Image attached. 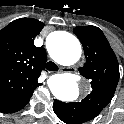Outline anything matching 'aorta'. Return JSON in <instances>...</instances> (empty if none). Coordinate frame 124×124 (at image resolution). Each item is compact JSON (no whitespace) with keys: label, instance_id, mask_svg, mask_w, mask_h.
I'll list each match as a JSON object with an SVG mask.
<instances>
[{"label":"aorta","instance_id":"1","mask_svg":"<svg viewBox=\"0 0 124 124\" xmlns=\"http://www.w3.org/2000/svg\"><path fill=\"white\" fill-rule=\"evenodd\" d=\"M51 57L62 65H72L81 57L79 40L68 32H59L49 47ZM77 76L70 73L55 74L48 80L52 94L61 101H74L79 96Z\"/></svg>","mask_w":124,"mask_h":124}]
</instances>
